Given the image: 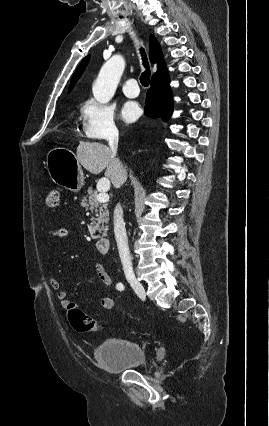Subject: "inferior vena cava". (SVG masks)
I'll use <instances>...</instances> for the list:
<instances>
[{"label": "inferior vena cava", "instance_id": "inferior-vena-cava-1", "mask_svg": "<svg viewBox=\"0 0 269 426\" xmlns=\"http://www.w3.org/2000/svg\"><path fill=\"white\" fill-rule=\"evenodd\" d=\"M118 136V131L116 130L112 131L109 136V146L115 156L118 147ZM114 233L124 272L127 276H132L134 274L129 252L128 238L126 234L125 222L123 220V210L120 204L116 206L114 211Z\"/></svg>", "mask_w": 269, "mask_h": 426}]
</instances>
